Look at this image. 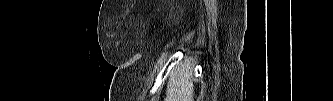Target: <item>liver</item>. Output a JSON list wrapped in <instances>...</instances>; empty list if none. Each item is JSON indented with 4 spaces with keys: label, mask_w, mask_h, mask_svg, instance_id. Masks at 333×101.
Masks as SVG:
<instances>
[{
    "label": "liver",
    "mask_w": 333,
    "mask_h": 101,
    "mask_svg": "<svg viewBox=\"0 0 333 101\" xmlns=\"http://www.w3.org/2000/svg\"><path fill=\"white\" fill-rule=\"evenodd\" d=\"M192 70L190 63L175 68L167 84L165 101H193Z\"/></svg>",
    "instance_id": "liver-1"
}]
</instances>
